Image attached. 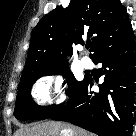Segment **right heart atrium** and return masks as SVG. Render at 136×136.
<instances>
[{"instance_id": "d8ad5b80", "label": "right heart atrium", "mask_w": 136, "mask_h": 136, "mask_svg": "<svg viewBox=\"0 0 136 136\" xmlns=\"http://www.w3.org/2000/svg\"><path fill=\"white\" fill-rule=\"evenodd\" d=\"M32 96L38 104L61 103L65 100V85L61 75L47 76L38 80L32 89Z\"/></svg>"}]
</instances>
